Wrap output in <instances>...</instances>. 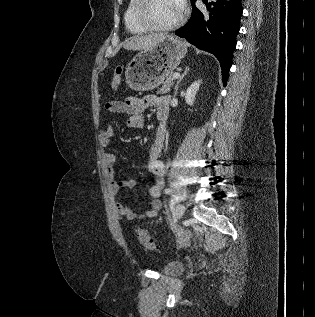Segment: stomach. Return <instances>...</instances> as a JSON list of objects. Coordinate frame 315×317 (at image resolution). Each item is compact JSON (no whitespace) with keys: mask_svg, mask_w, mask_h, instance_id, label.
<instances>
[{"mask_svg":"<svg viewBox=\"0 0 315 317\" xmlns=\"http://www.w3.org/2000/svg\"><path fill=\"white\" fill-rule=\"evenodd\" d=\"M186 53L187 48L180 39L165 36L152 48L133 57L126 67V84L135 91L158 87L179 66Z\"/></svg>","mask_w":315,"mask_h":317,"instance_id":"0dacf381","label":"stomach"}]
</instances>
